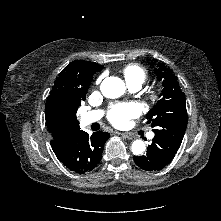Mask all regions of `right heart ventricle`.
Masks as SVG:
<instances>
[{"label": "right heart ventricle", "mask_w": 221, "mask_h": 221, "mask_svg": "<svg viewBox=\"0 0 221 221\" xmlns=\"http://www.w3.org/2000/svg\"><path fill=\"white\" fill-rule=\"evenodd\" d=\"M124 76L127 82L143 83L147 77V73L141 66L132 64L125 67Z\"/></svg>", "instance_id": "right-heart-ventricle-1"}]
</instances>
